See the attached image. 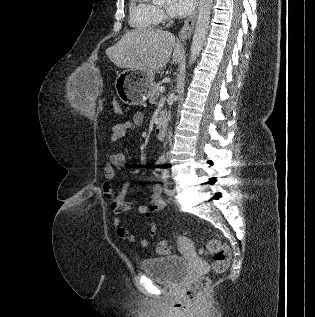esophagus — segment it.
I'll use <instances>...</instances> for the list:
<instances>
[{"label": "esophagus", "instance_id": "1", "mask_svg": "<svg viewBox=\"0 0 315 317\" xmlns=\"http://www.w3.org/2000/svg\"><path fill=\"white\" fill-rule=\"evenodd\" d=\"M198 15V9H196L185 21L182 29L179 32V37L183 43H185L193 32L195 22Z\"/></svg>", "mask_w": 315, "mask_h": 317}]
</instances>
